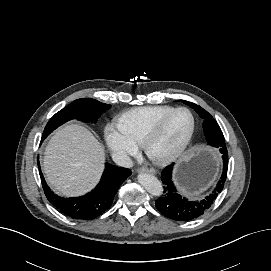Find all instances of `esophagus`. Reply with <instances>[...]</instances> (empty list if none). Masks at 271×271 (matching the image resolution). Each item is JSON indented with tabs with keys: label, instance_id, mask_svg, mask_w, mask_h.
<instances>
[{
	"label": "esophagus",
	"instance_id": "esophagus-1",
	"mask_svg": "<svg viewBox=\"0 0 271 271\" xmlns=\"http://www.w3.org/2000/svg\"><path fill=\"white\" fill-rule=\"evenodd\" d=\"M137 172H139V173L156 174L155 169H153V168H147V167L138 168Z\"/></svg>",
	"mask_w": 271,
	"mask_h": 271
}]
</instances>
